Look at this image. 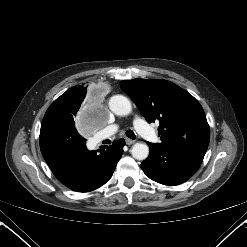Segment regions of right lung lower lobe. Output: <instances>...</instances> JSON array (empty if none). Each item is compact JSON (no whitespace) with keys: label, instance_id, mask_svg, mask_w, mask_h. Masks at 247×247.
Listing matches in <instances>:
<instances>
[{"label":"right lung lower lobe","instance_id":"98d812e1","mask_svg":"<svg viewBox=\"0 0 247 247\" xmlns=\"http://www.w3.org/2000/svg\"><path fill=\"white\" fill-rule=\"evenodd\" d=\"M124 145V139H119L100 153L89 151L75 124L56 118H44L41 124V153L58 180L73 191L89 192L105 184Z\"/></svg>","mask_w":247,"mask_h":247}]
</instances>
